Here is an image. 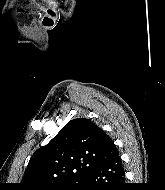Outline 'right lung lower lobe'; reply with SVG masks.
<instances>
[{
  "instance_id": "right-lung-lower-lobe-1",
  "label": "right lung lower lobe",
  "mask_w": 165,
  "mask_h": 190,
  "mask_svg": "<svg viewBox=\"0 0 165 190\" xmlns=\"http://www.w3.org/2000/svg\"><path fill=\"white\" fill-rule=\"evenodd\" d=\"M80 181L79 190H126L119 153L90 168Z\"/></svg>"
}]
</instances>
